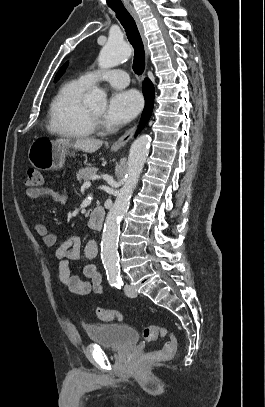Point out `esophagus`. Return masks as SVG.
Returning <instances> with one entry per match:
<instances>
[{
    "mask_svg": "<svg viewBox=\"0 0 265 407\" xmlns=\"http://www.w3.org/2000/svg\"><path fill=\"white\" fill-rule=\"evenodd\" d=\"M126 9L131 14V16L133 17V19L137 25V28L139 30V33L141 35V38H142V41L144 44L146 59L148 60L150 52H149V49L147 46L148 43H147V39L144 34V28L140 21V18L138 16L137 12L135 11V9L133 8V6H131V5L126 6ZM137 126H138V123H135L134 125H132L117 141H115L113 143L111 148L113 150H118V149L122 148L124 145H126L132 139L133 135L135 134Z\"/></svg>",
    "mask_w": 265,
    "mask_h": 407,
    "instance_id": "esophagus-1",
    "label": "esophagus"
}]
</instances>
